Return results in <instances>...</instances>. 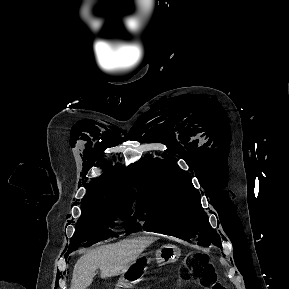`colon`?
Wrapping results in <instances>:
<instances>
[{
    "label": "colon",
    "instance_id": "1",
    "mask_svg": "<svg viewBox=\"0 0 289 289\" xmlns=\"http://www.w3.org/2000/svg\"><path fill=\"white\" fill-rule=\"evenodd\" d=\"M184 280L204 289H225L218 283L214 272L209 264L200 256H194L193 260L186 265Z\"/></svg>",
    "mask_w": 289,
    "mask_h": 289
}]
</instances>
